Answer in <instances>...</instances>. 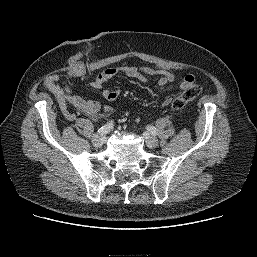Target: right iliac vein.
<instances>
[{"label": "right iliac vein", "mask_w": 257, "mask_h": 257, "mask_svg": "<svg viewBox=\"0 0 257 257\" xmlns=\"http://www.w3.org/2000/svg\"><path fill=\"white\" fill-rule=\"evenodd\" d=\"M92 143L95 147H101L105 143V138L96 134L92 137Z\"/></svg>", "instance_id": "63e3f726"}]
</instances>
